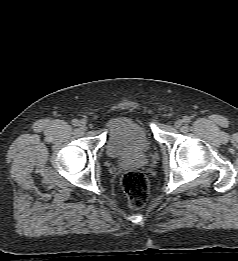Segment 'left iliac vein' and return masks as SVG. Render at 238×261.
I'll return each instance as SVG.
<instances>
[{
	"mask_svg": "<svg viewBox=\"0 0 238 261\" xmlns=\"http://www.w3.org/2000/svg\"><path fill=\"white\" fill-rule=\"evenodd\" d=\"M182 124H183V121L179 119V120H176V121H175L174 126H175L176 128H179Z\"/></svg>",
	"mask_w": 238,
	"mask_h": 261,
	"instance_id": "1",
	"label": "left iliac vein"
}]
</instances>
